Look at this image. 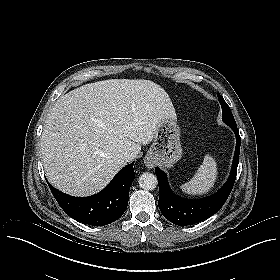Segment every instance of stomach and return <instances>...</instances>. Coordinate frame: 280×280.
Returning <instances> with one entry per match:
<instances>
[{"mask_svg":"<svg viewBox=\"0 0 280 280\" xmlns=\"http://www.w3.org/2000/svg\"><path fill=\"white\" fill-rule=\"evenodd\" d=\"M181 157L180 128L174 120L164 119L155 129L146 158L160 166L171 168Z\"/></svg>","mask_w":280,"mask_h":280,"instance_id":"obj_1","label":"stomach"}]
</instances>
